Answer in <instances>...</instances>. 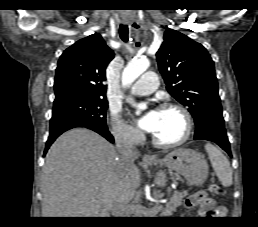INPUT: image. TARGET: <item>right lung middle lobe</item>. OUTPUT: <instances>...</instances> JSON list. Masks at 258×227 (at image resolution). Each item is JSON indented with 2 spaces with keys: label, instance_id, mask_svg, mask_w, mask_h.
I'll list each match as a JSON object with an SVG mask.
<instances>
[{
  "label": "right lung middle lobe",
  "instance_id": "dd1d6c3e",
  "mask_svg": "<svg viewBox=\"0 0 258 227\" xmlns=\"http://www.w3.org/2000/svg\"><path fill=\"white\" fill-rule=\"evenodd\" d=\"M107 108L106 97L65 92L56 95L52 118L66 117L78 120L91 127L107 128Z\"/></svg>",
  "mask_w": 258,
  "mask_h": 227
}]
</instances>
